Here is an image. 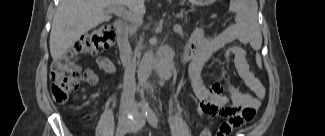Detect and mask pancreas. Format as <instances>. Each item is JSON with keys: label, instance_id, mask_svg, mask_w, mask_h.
Returning <instances> with one entry per match:
<instances>
[{"label": "pancreas", "instance_id": "cf45deb5", "mask_svg": "<svg viewBox=\"0 0 325 136\" xmlns=\"http://www.w3.org/2000/svg\"><path fill=\"white\" fill-rule=\"evenodd\" d=\"M176 15L177 16H186V17L181 18L182 24H189L190 19H197V16H198L197 12H194L192 7H189L188 5H181L180 8L176 10Z\"/></svg>", "mask_w": 325, "mask_h": 136}]
</instances>
